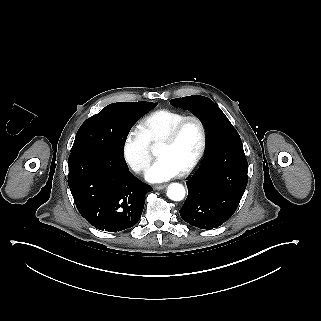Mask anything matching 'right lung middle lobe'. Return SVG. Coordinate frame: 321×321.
<instances>
[{"label":"right lung middle lobe","mask_w":321,"mask_h":321,"mask_svg":"<svg viewBox=\"0 0 321 321\" xmlns=\"http://www.w3.org/2000/svg\"><path fill=\"white\" fill-rule=\"evenodd\" d=\"M157 103L118 102L104 107L101 112L87 119L79 128L71 153L78 151H101L124 157L126 134L116 125V112L123 109H136L143 116Z\"/></svg>","instance_id":"1"}]
</instances>
